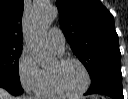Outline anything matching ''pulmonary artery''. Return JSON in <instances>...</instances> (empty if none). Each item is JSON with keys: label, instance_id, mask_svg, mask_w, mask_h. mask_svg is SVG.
Segmentation results:
<instances>
[{"label": "pulmonary artery", "instance_id": "1", "mask_svg": "<svg viewBox=\"0 0 128 99\" xmlns=\"http://www.w3.org/2000/svg\"><path fill=\"white\" fill-rule=\"evenodd\" d=\"M48 41L53 50L58 54H63L65 49V37L58 28H52L48 32Z\"/></svg>", "mask_w": 128, "mask_h": 99}]
</instances>
